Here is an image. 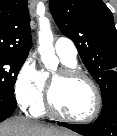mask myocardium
Masks as SVG:
<instances>
[{
    "label": "myocardium",
    "instance_id": "1",
    "mask_svg": "<svg viewBox=\"0 0 117 136\" xmlns=\"http://www.w3.org/2000/svg\"><path fill=\"white\" fill-rule=\"evenodd\" d=\"M83 79L92 88L95 95V108L91 115L85 118H74L64 114L54 101L55 89L70 80ZM45 104L47 110L54 116L71 123L84 124L94 121L101 113L102 110V95L96 82L85 72L76 67H62L57 73H55L49 80Z\"/></svg>",
    "mask_w": 117,
    "mask_h": 136
}]
</instances>
